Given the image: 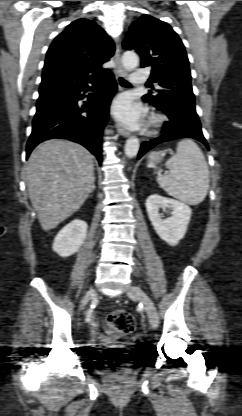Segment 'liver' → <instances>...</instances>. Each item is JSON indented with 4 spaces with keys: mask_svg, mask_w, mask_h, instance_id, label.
Listing matches in <instances>:
<instances>
[{
    "mask_svg": "<svg viewBox=\"0 0 242 416\" xmlns=\"http://www.w3.org/2000/svg\"><path fill=\"white\" fill-rule=\"evenodd\" d=\"M93 158L86 148L69 140L50 139L33 150L26 182L43 230L57 227L94 190Z\"/></svg>",
    "mask_w": 242,
    "mask_h": 416,
    "instance_id": "liver-1",
    "label": "liver"
}]
</instances>
